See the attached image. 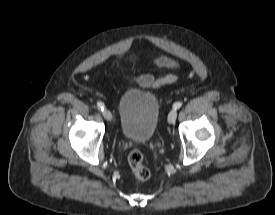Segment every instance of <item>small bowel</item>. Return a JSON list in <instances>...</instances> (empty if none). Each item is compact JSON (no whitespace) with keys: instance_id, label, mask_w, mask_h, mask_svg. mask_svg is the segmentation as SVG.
I'll return each mask as SVG.
<instances>
[{"instance_id":"obj_1","label":"small bowel","mask_w":275,"mask_h":215,"mask_svg":"<svg viewBox=\"0 0 275 215\" xmlns=\"http://www.w3.org/2000/svg\"><path fill=\"white\" fill-rule=\"evenodd\" d=\"M152 65L157 69H170L179 70L181 64L170 57H157L152 61ZM178 76L175 74H168L161 78L156 79L150 72L142 74L136 81L137 85L141 88H158L164 84L175 82Z\"/></svg>"}]
</instances>
